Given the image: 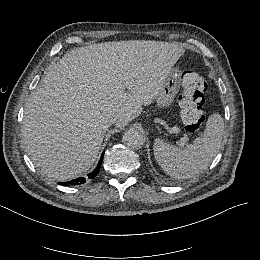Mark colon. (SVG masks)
<instances>
[{"instance_id":"colon-1","label":"colon","mask_w":260,"mask_h":260,"mask_svg":"<svg viewBox=\"0 0 260 260\" xmlns=\"http://www.w3.org/2000/svg\"><path fill=\"white\" fill-rule=\"evenodd\" d=\"M180 86L178 102L183 126L187 132H194L201 127L204 120L202 108L207 83L195 69H189L182 76Z\"/></svg>"}]
</instances>
